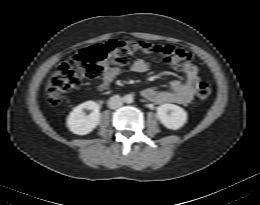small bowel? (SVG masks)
<instances>
[{
  "mask_svg": "<svg viewBox=\"0 0 260 205\" xmlns=\"http://www.w3.org/2000/svg\"><path fill=\"white\" fill-rule=\"evenodd\" d=\"M149 66L143 59H137L133 62L130 70L134 73H145ZM185 79L173 80L166 90H157L148 87L142 90V96L156 104L176 103L188 105L192 102L196 93V85L199 82L198 67L189 63L182 70ZM123 72V68L108 62L103 63L101 80L97 86L99 91H106L111 83Z\"/></svg>",
  "mask_w": 260,
  "mask_h": 205,
  "instance_id": "obj_1",
  "label": "small bowel"
}]
</instances>
